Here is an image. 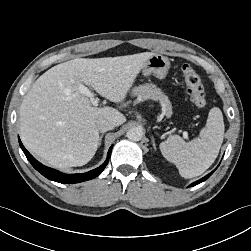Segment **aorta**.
Returning a JSON list of instances; mask_svg holds the SVG:
<instances>
[{"instance_id":"obj_1","label":"aorta","mask_w":251,"mask_h":251,"mask_svg":"<svg viewBox=\"0 0 251 251\" xmlns=\"http://www.w3.org/2000/svg\"><path fill=\"white\" fill-rule=\"evenodd\" d=\"M126 136L131 141H140L143 136V131L141 128L134 127L127 131Z\"/></svg>"}]
</instances>
